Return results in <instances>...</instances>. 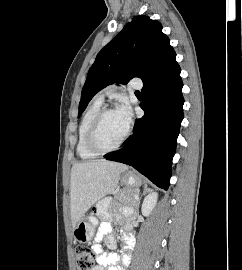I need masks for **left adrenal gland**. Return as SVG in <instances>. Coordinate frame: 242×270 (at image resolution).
<instances>
[{"label":"left adrenal gland","instance_id":"obj_1","mask_svg":"<svg viewBox=\"0 0 242 270\" xmlns=\"http://www.w3.org/2000/svg\"><path fill=\"white\" fill-rule=\"evenodd\" d=\"M151 192H152L151 189L145 188L142 195H145L146 193H151ZM139 204H140V199L137 201V205H136V215L139 214V210H138Z\"/></svg>","mask_w":242,"mask_h":270}]
</instances>
